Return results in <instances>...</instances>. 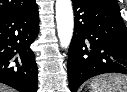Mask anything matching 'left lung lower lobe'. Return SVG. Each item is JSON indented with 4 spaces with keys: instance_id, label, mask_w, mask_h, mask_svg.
Listing matches in <instances>:
<instances>
[{
    "instance_id": "left-lung-lower-lobe-1",
    "label": "left lung lower lobe",
    "mask_w": 127,
    "mask_h": 92,
    "mask_svg": "<svg viewBox=\"0 0 127 92\" xmlns=\"http://www.w3.org/2000/svg\"><path fill=\"white\" fill-rule=\"evenodd\" d=\"M74 35L69 47L71 92L103 73L127 74V30L119 9L72 0Z\"/></svg>"
}]
</instances>
